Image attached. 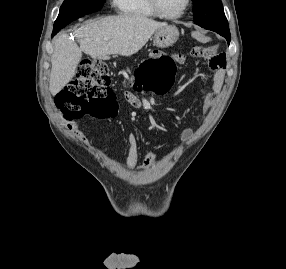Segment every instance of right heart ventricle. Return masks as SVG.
Instances as JSON below:
<instances>
[{"instance_id":"1","label":"right heart ventricle","mask_w":286,"mask_h":269,"mask_svg":"<svg viewBox=\"0 0 286 269\" xmlns=\"http://www.w3.org/2000/svg\"><path fill=\"white\" fill-rule=\"evenodd\" d=\"M119 13L132 18L158 17L150 6L149 0H114Z\"/></svg>"}]
</instances>
